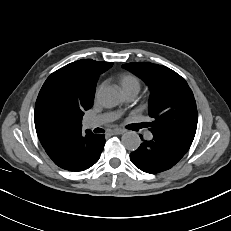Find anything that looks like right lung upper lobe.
Instances as JSON below:
<instances>
[{
	"label": "right lung upper lobe",
	"instance_id": "obj_1",
	"mask_svg": "<svg viewBox=\"0 0 231 231\" xmlns=\"http://www.w3.org/2000/svg\"><path fill=\"white\" fill-rule=\"evenodd\" d=\"M112 65L84 59L58 69L47 78L34 112L36 132L44 148L63 136L82 131L81 123L76 121L59 122L51 108L61 104L84 114L93 105L99 75Z\"/></svg>",
	"mask_w": 231,
	"mask_h": 231
}]
</instances>
